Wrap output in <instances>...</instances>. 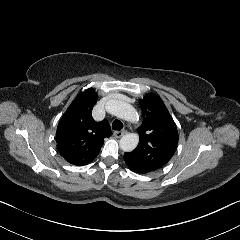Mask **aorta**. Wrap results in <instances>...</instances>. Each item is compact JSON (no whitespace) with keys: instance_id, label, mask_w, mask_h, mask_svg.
<instances>
[{"instance_id":"obj_1","label":"aorta","mask_w":240,"mask_h":240,"mask_svg":"<svg viewBox=\"0 0 240 240\" xmlns=\"http://www.w3.org/2000/svg\"><path fill=\"white\" fill-rule=\"evenodd\" d=\"M105 109L109 114L126 121L135 122L137 119L136 109L126 102L112 99L106 103ZM138 143L139 136L137 133H127L120 139L119 146L121 150L131 152L137 147Z\"/></svg>"}]
</instances>
